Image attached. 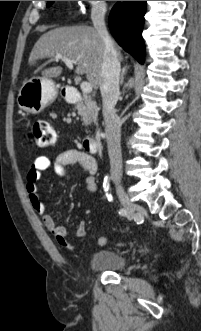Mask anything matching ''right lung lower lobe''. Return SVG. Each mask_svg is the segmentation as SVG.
<instances>
[{"instance_id": "1", "label": "right lung lower lobe", "mask_w": 201, "mask_h": 331, "mask_svg": "<svg viewBox=\"0 0 201 331\" xmlns=\"http://www.w3.org/2000/svg\"><path fill=\"white\" fill-rule=\"evenodd\" d=\"M145 12L146 1H122L113 7L109 16V28L115 40L140 63L145 58L141 36Z\"/></svg>"}]
</instances>
